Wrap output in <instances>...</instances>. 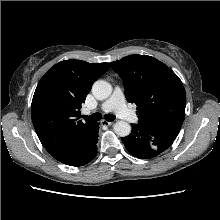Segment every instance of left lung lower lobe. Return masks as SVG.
Masks as SVG:
<instances>
[{
    "label": "left lung lower lobe",
    "mask_w": 220,
    "mask_h": 220,
    "mask_svg": "<svg viewBox=\"0 0 220 220\" xmlns=\"http://www.w3.org/2000/svg\"><path fill=\"white\" fill-rule=\"evenodd\" d=\"M131 133L122 138L130 154L135 157L153 158L170 147L174 140L160 136L154 126L131 124Z\"/></svg>",
    "instance_id": "1"
}]
</instances>
